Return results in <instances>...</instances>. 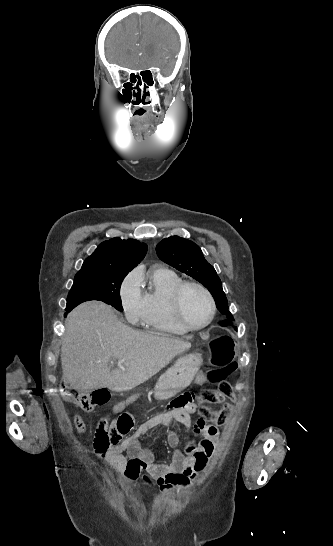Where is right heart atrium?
<instances>
[{
	"instance_id": "1",
	"label": "right heart atrium",
	"mask_w": 333,
	"mask_h": 546,
	"mask_svg": "<svg viewBox=\"0 0 333 546\" xmlns=\"http://www.w3.org/2000/svg\"><path fill=\"white\" fill-rule=\"evenodd\" d=\"M141 278L137 271L130 272L120 287V301L126 319L139 322L143 314V301L140 290Z\"/></svg>"
}]
</instances>
